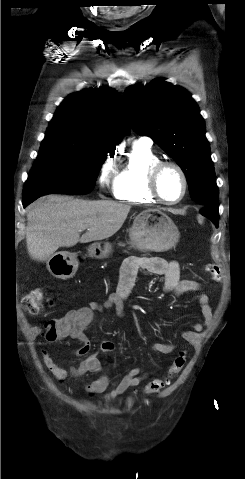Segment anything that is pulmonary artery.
<instances>
[{
    "label": "pulmonary artery",
    "mask_w": 245,
    "mask_h": 479,
    "mask_svg": "<svg viewBox=\"0 0 245 479\" xmlns=\"http://www.w3.org/2000/svg\"><path fill=\"white\" fill-rule=\"evenodd\" d=\"M139 141L144 142V143L149 144V145H151V143H152L151 139L147 138V137L140 138Z\"/></svg>",
    "instance_id": "e3ab8cb5"
}]
</instances>
